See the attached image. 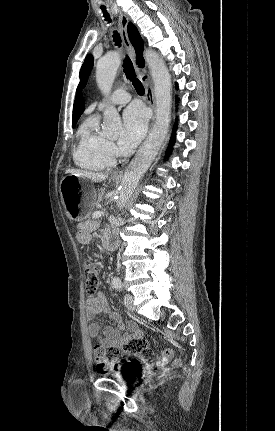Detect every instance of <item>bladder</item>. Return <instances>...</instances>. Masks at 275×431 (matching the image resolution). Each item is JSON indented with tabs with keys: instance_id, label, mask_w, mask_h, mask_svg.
I'll return each mask as SVG.
<instances>
[{
	"instance_id": "1",
	"label": "bladder",
	"mask_w": 275,
	"mask_h": 431,
	"mask_svg": "<svg viewBox=\"0 0 275 431\" xmlns=\"http://www.w3.org/2000/svg\"><path fill=\"white\" fill-rule=\"evenodd\" d=\"M104 376H111L113 378H116L120 381H126L127 380V376H126V372L123 369H117L108 373H103Z\"/></svg>"
}]
</instances>
